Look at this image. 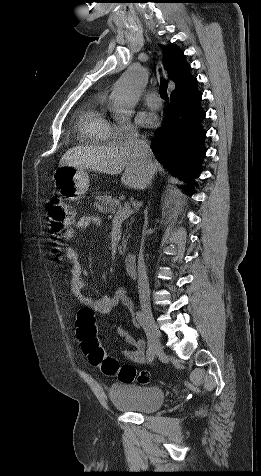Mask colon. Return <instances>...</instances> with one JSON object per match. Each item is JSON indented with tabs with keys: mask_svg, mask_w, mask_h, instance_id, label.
<instances>
[{
	"mask_svg": "<svg viewBox=\"0 0 261 476\" xmlns=\"http://www.w3.org/2000/svg\"><path fill=\"white\" fill-rule=\"evenodd\" d=\"M48 227L54 237H58L61 232L73 222V211L58 196L50 197L45 204ZM58 252V249H54ZM77 337L81 341L84 353L90 363L98 367L107 376L117 377L121 382L147 383L149 375L146 371L137 372L134 366L129 364L121 365L115 358L108 355L101 347L97 338L96 315L89 307H83L77 315Z\"/></svg>",
	"mask_w": 261,
	"mask_h": 476,
	"instance_id": "colon-1",
	"label": "colon"
}]
</instances>
